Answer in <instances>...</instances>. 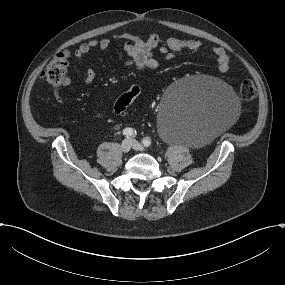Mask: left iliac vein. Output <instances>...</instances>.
I'll list each match as a JSON object with an SVG mask.
<instances>
[{
	"instance_id": "4c4485c4",
	"label": "left iliac vein",
	"mask_w": 285,
	"mask_h": 285,
	"mask_svg": "<svg viewBox=\"0 0 285 285\" xmlns=\"http://www.w3.org/2000/svg\"><path fill=\"white\" fill-rule=\"evenodd\" d=\"M130 143H131L132 148H134L135 150H138V151L144 150V147L137 140L131 139Z\"/></svg>"
}]
</instances>
